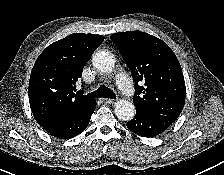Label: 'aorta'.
I'll list each match as a JSON object with an SVG mask.
<instances>
[{"label": "aorta", "instance_id": "aorta-1", "mask_svg": "<svg viewBox=\"0 0 224 175\" xmlns=\"http://www.w3.org/2000/svg\"><path fill=\"white\" fill-rule=\"evenodd\" d=\"M93 65L102 73H111L115 67L114 55L106 50H101L93 56ZM114 112L123 121H130L135 115V106L126 99H119L115 103Z\"/></svg>", "mask_w": 224, "mask_h": 175}]
</instances>
